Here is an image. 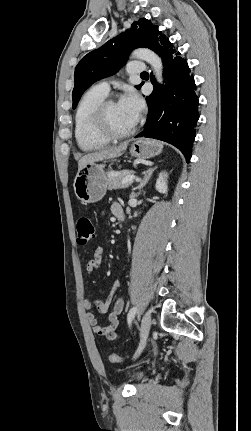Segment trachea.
Returning a JSON list of instances; mask_svg holds the SVG:
<instances>
[{"label":"trachea","mask_w":251,"mask_h":431,"mask_svg":"<svg viewBox=\"0 0 251 431\" xmlns=\"http://www.w3.org/2000/svg\"><path fill=\"white\" fill-rule=\"evenodd\" d=\"M148 73L147 72H143V73H141V75H147Z\"/></svg>","instance_id":"trachea-1"}]
</instances>
